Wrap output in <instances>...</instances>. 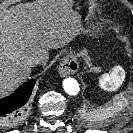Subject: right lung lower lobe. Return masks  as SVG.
Returning <instances> with one entry per match:
<instances>
[{"instance_id": "1", "label": "right lung lower lobe", "mask_w": 133, "mask_h": 133, "mask_svg": "<svg viewBox=\"0 0 133 133\" xmlns=\"http://www.w3.org/2000/svg\"><path fill=\"white\" fill-rule=\"evenodd\" d=\"M36 80L22 84L13 94L0 99V123L14 125L21 121L27 110L28 100Z\"/></svg>"}]
</instances>
